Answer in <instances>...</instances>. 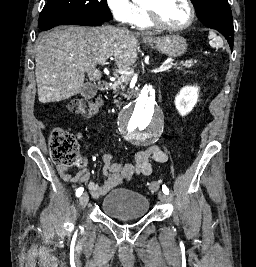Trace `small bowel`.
<instances>
[{"instance_id": "c3829d8e", "label": "small bowel", "mask_w": 256, "mask_h": 267, "mask_svg": "<svg viewBox=\"0 0 256 267\" xmlns=\"http://www.w3.org/2000/svg\"><path fill=\"white\" fill-rule=\"evenodd\" d=\"M77 141H82L83 137L79 134ZM102 160L104 162L103 175L105 180L102 184L90 179L88 170H80L76 174H71L68 167L58 165L57 170L60 177L68 183H79L87 186L93 197L99 198L136 176H150L153 172L152 162L164 164L168 160V155L163 149L155 144L146 146L138 150L131 161L126 163H117L113 161V156L100 149Z\"/></svg>"}]
</instances>
